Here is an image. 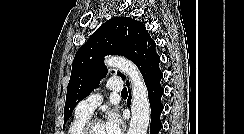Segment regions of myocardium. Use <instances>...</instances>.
I'll return each instance as SVG.
<instances>
[{
  "label": "myocardium",
  "mask_w": 244,
  "mask_h": 134,
  "mask_svg": "<svg viewBox=\"0 0 244 134\" xmlns=\"http://www.w3.org/2000/svg\"><path fill=\"white\" fill-rule=\"evenodd\" d=\"M99 124H103L100 119H90L81 128L79 134H91L92 129Z\"/></svg>",
  "instance_id": "1"
}]
</instances>
